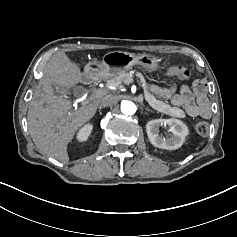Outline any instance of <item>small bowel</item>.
I'll use <instances>...</instances> for the list:
<instances>
[{
  "mask_svg": "<svg viewBox=\"0 0 237 237\" xmlns=\"http://www.w3.org/2000/svg\"><path fill=\"white\" fill-rule=\"evenodd\" d=\"M168 75H175L173 69L169 70ZM150 90L162 98L169 99L171 103L183 108L190 117H201L208 119L211 116V108L207 97V84L203 79H196L192 88L174 86L171 88H160L151 86Z\"/></svg>",
  "mask_w": 237,
  "mask_h": 237,
  "instance_id": "c3829d8e",
  "label": "small bowel"
}]
</instances>
